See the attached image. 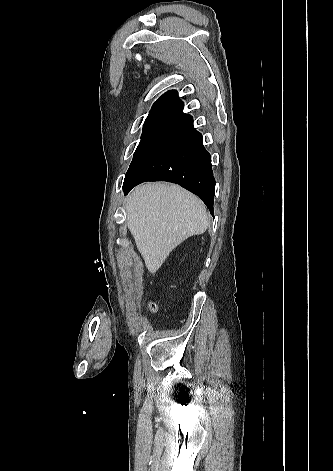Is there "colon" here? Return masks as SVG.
I'll list each match as a JSON object with an SVG mask.
<instances>
[{
  "instance_id": "5ec220e1",
  "label": "colon",
  "mask_w": 333,
  "mask_h": 471,
  "mask_svg": "<svg viewBox=\"0 0 333 471\" xmlns=\"http://www.w3.org/2000/svg\"><path fill=\"white\" fill-rule=\"evenodd\" d=\"M150 310H151V311H155V310H156V306H155L154 304H151V305H150Z\"/></svg>"
}]
</instances>
